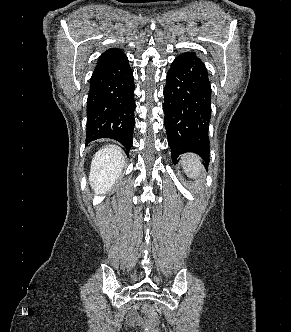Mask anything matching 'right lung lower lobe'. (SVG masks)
<instances>
[{"mask_svg":"<svg viewBox=\"0 0 291 332\" xmlns=\"http://www.w3.org/2000/svg\"><path fill=\"white\" fill-rule=\"evenodd\" d=\"M134 78L128 59L97 63L87 100L86 142L99 138L119 141L128 152L135 126Z\"/></svg>","mask_w":291,"mask_h":332,"instance_id":"obj_1","label":"right lung lower lobe"}]
</instances>
